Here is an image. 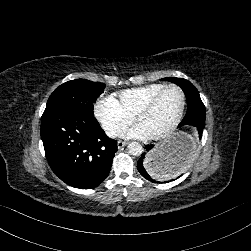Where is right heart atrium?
Masks as SVG:
<instances>
[{
	"label": "right heart atrium",
	"instance_id": "obj_1",
	"mask_svg": "<svg viewBox=\"0 0 251 251\" xmlns=\"http://www.w3.org/2000/svg\"><path fill=\"white\" fill-rule=\"evenodd\" d=\"M93 112L105 132L110 137H118L133 121L129 112L114 94L101 95L93 105Z\"/></svg>",
	"mask_w": 251,
	"mask_h": 251
}]
</instances>
